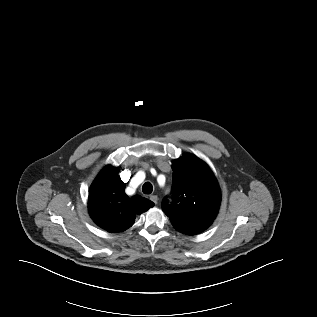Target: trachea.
Returning a JSON list of instances; mask_svg holds the SVG:
<instances>
[{
	"instance_id": "1",
	"label": "trachea",
	"mask_w": 317,
	"mask_h": 317,
	"mask_svg": "<svg viewBox=\"0 0 317 317\" xmlns=\"http://www.w3.org/2000/svg\"><path fill=\"white\" fill-rule=\"evenodd\" d=\"M142 191L144 194H151L153 191V186L150 182H145L142 186Z\"/></svg>"
}]
</instances>
